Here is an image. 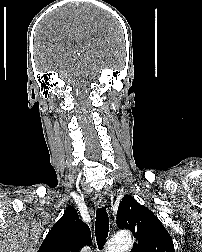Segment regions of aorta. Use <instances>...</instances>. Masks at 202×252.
Returning <instances> with one entry per match:
<instances>
[{
  "label": "aorta",
  "instance_id": "aorta-1",
  "mask_svg": "<svg viewBox=\"0 0 202 252\" xmlns=\"http://www.w3.org/2000/svg\"><path fill=\"white\" fill-rule=\"evenodd\" d=\"M133 246V239L130 233L120 232L108 243L105 252H127Z\"/></svg>",
  "mask_w": 202,
  "mask_h": 252
}]
</instances>
